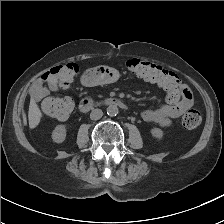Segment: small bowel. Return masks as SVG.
<instances>
[{
	"label": "small bowel",
	"instance_id": "small-bowel-1",
	"mask_svg": "<svg viewBox=\"0 0 224 224\" xmlns=\"http://www.w3.org/2000/svg\"><path fill=\"white\" fill-rule=\"evenodd\" d=\"M119 73L113 67L98 65L84 72L81 82L85 86H94L114 82ZM71 83V82H70ZM70 83L64 82L52 69L40 75L31 85L30 94L35 101L48 97L50 93L67 90ZM166 92V104L156 109H147L140 113L146 122H153L161 127H168L172 121L180 117L193 105L190 89L180 79H175L167 85L160 86Z\"/></svg>",
	"mask_w": 224,
	"mask_h": 224
}]
</instances>
